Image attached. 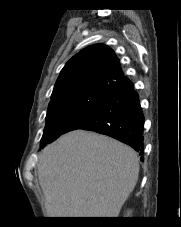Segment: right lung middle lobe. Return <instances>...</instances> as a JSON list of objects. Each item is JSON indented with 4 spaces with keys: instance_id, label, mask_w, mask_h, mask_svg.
<instances>
[{
    "instance_id": "right-lung-middle-lobe-1",
    "label": "right lung middle lobe",
    "mask_w": 181,
    "mask_h": 227,
    "mask_svg": "<svg viewBox=\"0 0 181 227\" xmlns=\"http://www.w3.org/2000/svg\"><path fill=\"white\" fill-rule=\"evenodd\" d=\"M111 90H95L59 98L49 104L41 144L46 145L98 110Z\"/></svg>"
}]
</instances>
